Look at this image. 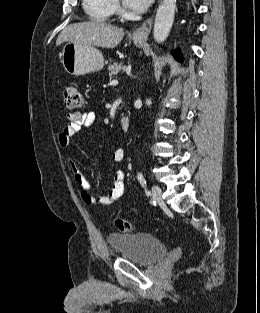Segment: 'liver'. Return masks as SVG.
<instances>
[{"instance_id": "liver-1", "label": "liver", "mask_w": 260, "mask_h": 313, "mask_svg": "<svg viewBox=\"0 0 260 313\" xmlns=\"http://www.w3.org/2000/svg\"><path fill=\"white\" fill-rule=\"evenodd\" d=\"M124 30L101 21H86L67 26L58 36L56 45L69 41L103 48L116 47Z\"/></svg>"}]
</instances>
